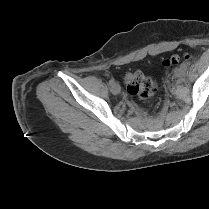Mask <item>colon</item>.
Segmentation results:
<instances>
[{
  "label": "colon",
  "instance_id": "1",
  "mask_svg": "<svg viewBox=\"0 0 209 209\" xmlns=\"http://www.w3.org/2000/svg\"><path fill=\"white\" fill-rule=\"evenodd\" d=\"M188 58L189 56L187 55L183 57L179 55H173L167 58L163 62V65L169 68L178 65L182 59ZM124 80L127 92L143 100L151 98L157 90L156 82L140 71L127 72Z\"/></svg>",
  "mask_w": 209,
  "mask_h": 209
}]
</instances>
